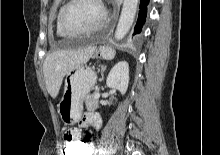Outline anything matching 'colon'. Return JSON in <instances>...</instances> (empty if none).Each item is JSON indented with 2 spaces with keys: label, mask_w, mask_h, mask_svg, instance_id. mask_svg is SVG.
<instances>
[{
  "label": "colon",
  "mask_w": 220,
  "mask_h": 155,
  "mask_svg": "<svg viewBox=\"0 0 220 155\" xmlns=\"http://www.w3.org/2000/svg\"><path fill=\"white\" fill-rule=\"evenodd\" d=\"M89 146L90 143L86 139H75L64 142L61 149L63 155H86Z\"/></svg>",
  "instance_id": "colon-1"
}]
</instances>
